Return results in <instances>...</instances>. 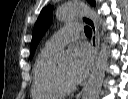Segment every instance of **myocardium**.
<instances>
[{"mask_svg":"<svg viewBox=\"0 0 128 99\" xmlns=\"http://www.w3.org/2000/svg\"><path fill=\"white\" fill-rule=\"evenodd\" d=\"M56 77H57L58 84L65 92H71L76 88V85L74 82H70L66 79V77L62 73L59 66H57V69H56Z\"/></svg>","mask_w":128,"mask_h":99,"instance_id":"myocardium-1","label":"myocardium"}]
</instances>
